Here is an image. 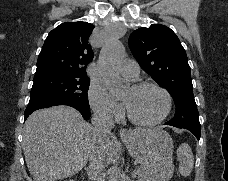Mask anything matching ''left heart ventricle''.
Masks as SVG:
<instances>
[{"label": "left heart ventricle", "mask_w": 228, "mask_h": 181, "mask_svg": "<svg viewBox=\"0 0 228 181\" xmlns=\"http://www.w3.org/2000/svg\"><path fill=\"white\" fill-rule=\"evenodd\" d=\"M129 81L127 77L119 76ZM123 98L132 114L141 120L157 117L164 104L162 95L154 88L132 89L129 86L123 92Z\"/></svg>", "instance_id": "b2bd125f"}]
</instances>
